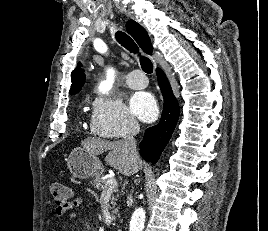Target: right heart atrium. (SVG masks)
<instances>
[{
	"label": "right heart atrium",
	"instance_id": "d8ad5b80",
	"mask_svg": "<svg viewBox=\"0 0 268 231\" xmlns=\"http://www.w3.org/2000/svg\"><path fill=\"white\" fill-rule=\"evenodd\" d=\"M137 126V121L120 98L96 96L93 99L90 118L93 134L106 139L128 138Z\"/></svg>",
	"mask_w": 268,
	"mask_h": 231
}]
</instances>
